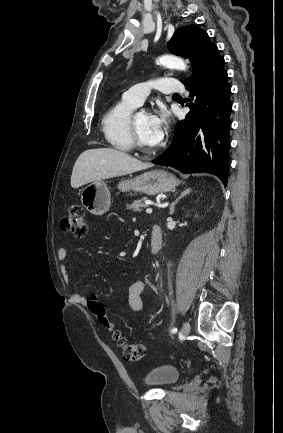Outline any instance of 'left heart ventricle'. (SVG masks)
<instances>
[{
    "label": "left heart ventricle",
    "instance_id": "left-heart-ventricle-1",
    "mask_svg": "<svg viewBox=\"0 0 283 433\" xmlns=\"http://www.w3.org/2000/svg\"><path fill=\"white\" fill-rule=\"evenodd\" d=\"M135 120H136V126H137L139 137L143 143V148L145 150H150V148L146 145V143L144 141V136H145L147 126H148L149 115L144 113V114L140 115L139 117H137Z\"/></svg>",
    "mask_w": 283,
    "mask_h": 433
}]
</instances>
